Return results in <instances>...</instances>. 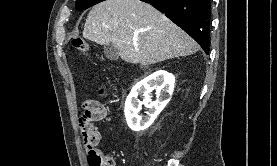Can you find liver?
<instances>
[{"instance_id": "obj_1", "label": "liver", "mask_w": 277, "mask_h": 166, "mask_svg": "<svg viewBox=\"0 0 277 166\" xmlns=\"http://www.w3.org/2000/svg\"><path fill=\"white\" fill-rule=\"evenodd\" d=\"M83 37L100 45L113 43L121 59L132 64L152 65L199 50L182 29L140 0H105L93 6Z\"/></svg>"}]
</instances>
